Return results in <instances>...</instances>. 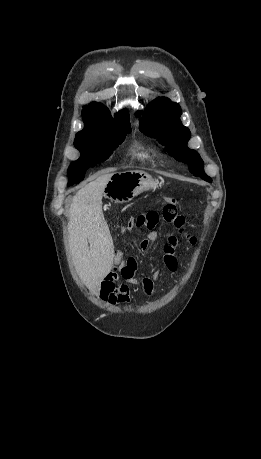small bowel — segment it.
I'll list each match as a JSON object with an SVG mask.
<instances>
[{"instance_id":"c3829d8e","label":"small bowel","mask_w":261,"mask_h":459,"mask_svg":"<svg viewBox=\"0 0 261 459\" xmlns=\"http://www.w3.org/2000/svg\"><path fill=\"white\" fill-rule=\"evenodd\" d=\"M134 228V220L130 219L124 226V231H130ZM183 233V226L179 228ZM190 242H194L192 237L187 236ZM157 239V232L151 230L140 242L142 251H146L150 242ZM178 240L174 234L167 237V244L164 247L163 262L165 267L175 272L178 268L176 249ZM137 263L134 258H128L123 262L116 272L106 275L100 284V298L111 305H125L130 301V287H139L146 296H152L155 292L156 284L160 276V271L154 272L151 276L136 278L135 272Z\"/></svg>"}]
</instances>
